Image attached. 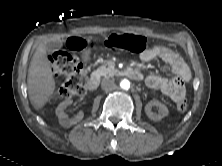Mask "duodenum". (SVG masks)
<instances>
[{
  "instance_id": "410a0bca",
  "label": "duodenum",
  "mask_w": 222,
  "mask_h": 166,
  "mask_svg": "<svg viewBox=\"0 0 222 166\" xmlns=\"http://www.w3.org/2000/svg\"><path fill=\"white\" fill-rule=\"evenodd\" d=\"M122 73L125 76H127L131 79H134V80H141L142 79L141 73L138 72L137 70H134V69H124L122 71ZM98 85H99V75H97V74L92 75L86 82V88L89 91L96 90Z\"/></svg>"
}]
</instances>
